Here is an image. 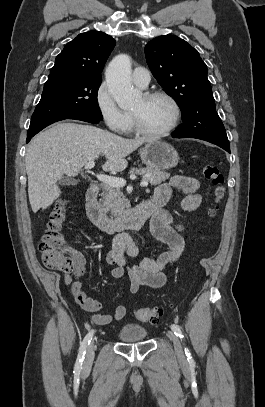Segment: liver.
Instances as JSON below:
<instances>
[{
    "label": "liver",
    "instance_id": "obj_1",
    "mask_svg": "<svg viewBox=\"0 0 265 407\" xmlns=\"http://www.w3.org/2000/svg\"><path fill=\"white\" fill-rule=\"evenodd\" d=\"M146 139H125L91 125L61 122L36 135L28 146L25 167L32 211L45 210L60 196L57 182L65 174L74 177L100 155L105 172L124 170L129 154Z\"/></svg>",
    "mask_w": 265,
    "mask_h": 407
}]
</instances>
